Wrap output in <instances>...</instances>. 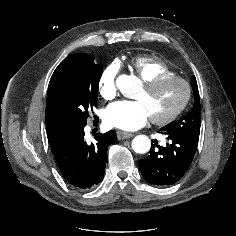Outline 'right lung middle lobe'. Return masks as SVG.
Segmentation results:
<instances>
[{"instance_id":"right-lung-middle-lobe-1","label":"right lung middle lobe","mask_w":236,"mask_h":236,"mask_svg":"<svg viewBox=\"0 0 236 236\" xmlns=\"http://www.w3.org/2000/svg\"><path fill=\"white\" fill-rule=\"evenodd\" d=\"M102 72V67L94 63L93 56L74 54L58 75L51 99L62 116L66 130L86 125L92 108L97 106ZM62 136L56 130L48 133L50 143Z\"/></svg>"}]
</instances>
